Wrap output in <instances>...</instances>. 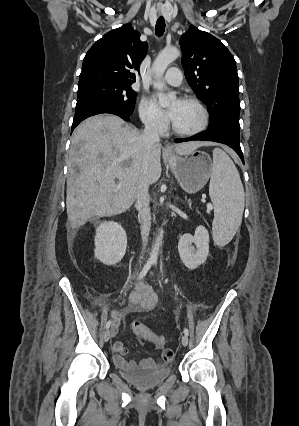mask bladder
<instances>
[{
  "mask_svg": "<svg viewBox=\"0 0 299 426\" xmlns=\"http://www.w3.org/2000/svg\"><path fill=\"white\" fill-rule=\"evenodd\" d=\"M118 374L129 384L142 389H152L162 384L171 374L169 366L152 368L119 369Z\"/></svg>",
  "mask_w": 299,
  "mask_h": 426,
  "instance_id": "bladder-1",
  "label": "bladder"
}]
</instances>
